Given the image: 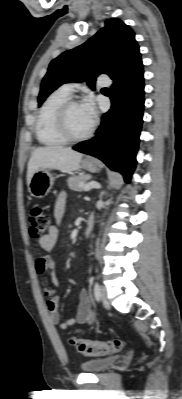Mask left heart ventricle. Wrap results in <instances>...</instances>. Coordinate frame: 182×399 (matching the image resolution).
Here are the masks:
<instances>
[{"mask_svg": "<svg viewBox=\"0 0 182 399\" xmlns=\"http://www.w3.org/2000/svg\"><path fill=\"white\" fill-rule=\"evenodd\" d=\"M92 124L91 119L83 110L81 104L73 105L68 112V126L75 136L83 135Z\"/></svg>", "mask_w": 182, "mask_h": 399, "instance_id": "left-heart-ventricle-1", "label": "left heart ventricle"}]
</instances>
